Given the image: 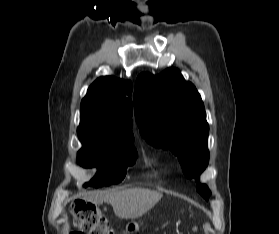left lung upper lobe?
I'll return each instance as SVG.
<instances>
[{
    "mask_svg": "<svg viewBox=\"0 0 279 234\" xmlns=\"http://www.w3.org/2000/svg\"><path fill=\"white\" fill-rule=\"evenodd\" d=\"M134 110L146 141L170 149L178 156L184 174L198 183L209 161V125L195 86L176 68L157 76L142 73L135 84ZM197 190L208 200L211 192L206 185L198 183Z\"/></svg>",
    "mask_w": 279,
    "mask_h": 234,
    "instance_id": "5c2ea615",
    "label": "left lung upper lobe"
}]
</instances>
